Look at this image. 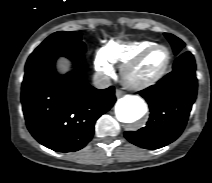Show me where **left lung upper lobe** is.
I'll list each match as a JSON object with an SVG mask.
<instances>
[{"instance_id":"left-lung-upper-lobe-1","label":"left lung upper lobe","mask_w":212,"mask_h":183,"mask_svg":"<svg viewBox=\"0 0 212 183\" xmlns=\"http://www.w3.org/2000/svg\"><path fill=\"white\" fill-rule=\"evenodd\" d=\"M164 35L170 41L174 54L175 55L180 54L182 51V48L185 46V43L172 34L165 33Z\"/></svg>"}]
</instances>
